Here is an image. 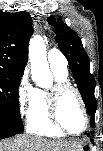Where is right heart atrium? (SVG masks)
Listing matches in <instances>:
<instances>
[{
	"label": "right heart atrium",
	"instance_id": "d8ad5b80",
	"mask_svg": "<svg viewBox=\"0 0 103 151\" xmlns=\"http://www.w3.org/2000/svg\"><path fill=\"white\" fill-rule=\"evenodd\" d=\"M33 95V89L30 87L26 75H23L17 86V105L20 113L29 109Z\"/></svg>",
	"mask_w": 103,
	"mask_h": 151
}]
</instances>
